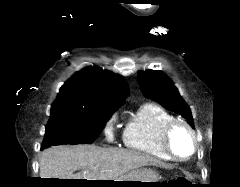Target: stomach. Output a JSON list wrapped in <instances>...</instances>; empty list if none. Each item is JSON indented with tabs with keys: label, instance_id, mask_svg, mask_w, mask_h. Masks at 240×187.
I'll list each match as a JSON object with an SVG mask.
<instances>
[{
	"label": "stomach",
	"instance_id": "1",
	"mask_svg": "<svg viewBox=\"0 0 240 187\" xmlns=\"http://www.w3.org/2000/svg\"><path fill=\"white\" fill-rule=\"evenodd\" d=\"M122 181V182H114ZM146 182H160L159 175L152 169L141 168L129 172L118 179L112 180L110 186L117 187H157L159 183H146Z\"/></svg>",
	"mask_w": 240,
	"mask_h": 187
}]
</instances>
